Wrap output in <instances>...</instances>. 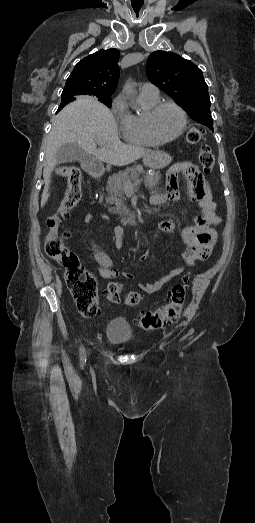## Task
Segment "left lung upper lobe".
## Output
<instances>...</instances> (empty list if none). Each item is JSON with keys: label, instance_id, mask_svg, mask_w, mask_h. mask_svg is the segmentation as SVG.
I'll return each instance as SVG.
<instances>
[{"label": "left lung upper lobe", "instance_id": "left-lung-upper-lobe-1", "mask_svg": "<svg viewBox=\"0 0 255 523\" xmlns=\"http://www.w3.org/2000/svg\"><path fill=\"white\" fill-rule=\"evenodd\" d=\"M148 79L180 104L198 123L213 132L208 86L202 71L177 54L156 51L146 64Z\"/></svg>", "mask_w": 255, "mask_h": 523}]
</instances>
